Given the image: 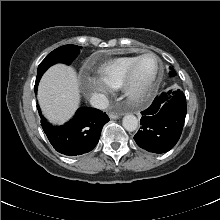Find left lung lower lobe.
Segmentation results:
<instances>
[{
  "label": "left lung lower lobe",
  "instance_id": "0a47b994",
  "mask_svg": "<svg viewBox=\"0 0 220 220\" xmlns=\"http://www.w3.org/2000/svg\"><path fill=\"white\" fill-rule=\"evenodd\" d=\"M186 97L180 90L157 96L142 111L141 128L134 136L137 145L149 152L164 153L179 140L185 122Z\"/></svg>",
  "mask_w": 220,
  "mask_h": 220
}]
</instances>
